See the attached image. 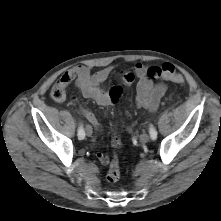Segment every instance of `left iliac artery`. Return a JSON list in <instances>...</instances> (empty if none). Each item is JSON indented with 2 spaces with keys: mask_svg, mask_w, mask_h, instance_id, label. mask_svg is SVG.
<instances>
[{
  "mask_svg": "<svg viewBox=\"0 0 221 221\" xmlns=\"http://www.w3.org/2000/svg\"><path fill=\"white\" fill-rule=\"evenodd\" d=\"M149 133H150L151 139L156 140L157 131H156L155 127L152 124H150Z\"/></svg>",
  "mask_w": 221,
  "mask_h": 221,
  "instance_id": "obj_1",
  "label": "left iliac artery"
}]
</instances>
